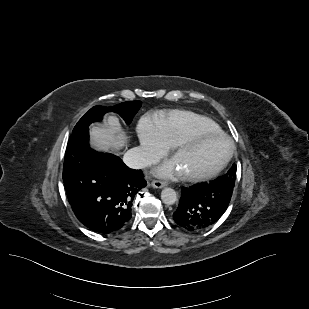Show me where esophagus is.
Masks as SVG:
<instances>
[{
	"label": "esophagus",
	"instance_id": "34e87169",
	"mask_svg": "<svg viewBox=\"0 0 309 309\" xmlns=\"http://www.w3.org/2000/svg\"><path fill=\"white\" fill-rule=\"evenodd\" d=\"M150 185L153 188H164L167 186V183L161 180H153Z\"/></svg>",
	"mask_w": 309,
	"mask_h": 309
}]
</instances>
